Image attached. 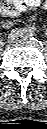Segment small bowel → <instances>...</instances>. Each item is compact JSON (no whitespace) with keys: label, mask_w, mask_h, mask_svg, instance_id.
I'll return each instance as SVG.
<instances>
[{"label":"small bowel","mask_w":47,"mask_h":129,"mask_svg":"<svg viewBox=\"0 0 47 129\" xmlns=\"http://www.w3.org/2000/svg\"><path fill=\"white\" fill-rule=\"evenodd\" d=\"M37 8H46L44 0H0V14L5 17H17Z\"/></svg>","instance_id":"1"}]
</instances>
